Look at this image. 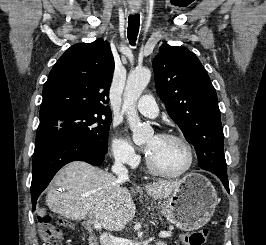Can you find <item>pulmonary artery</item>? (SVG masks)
I'll list each match as a JSON object with an SVG mask.
<instances>
[{
  "mask_svg": "<svg viewBox=\"0 0 266 245\" xmlns=\"http://www.w3.org/2000/svg\"><path fill=\"white\" fill-rule=\"evenodd\" d=\"M154 100V96H143L142 100H139L136 104V108L147 117H156L159 113V108L156 103L153 104Z\"/></svg>",
  "mask_w": 266,
  "mask_h": 245,
  "instance_id": "pulmonary-artery-1",
  "label": "pulmonary artery"
}]
</instances>
